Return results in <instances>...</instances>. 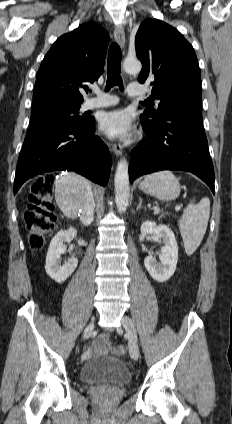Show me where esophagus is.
<instances>
[{
    "mask_svg": "<svg viewBox=\"0 0 232 424\" xmlns=\"http://www.w3.org/2000/svg\"><path fill=\"white\" fill-rule=\"evenodd\" d=\"M114 36L116 42L120 45L121 48L125 46V32L121 25L117 24L114 28ZM112 151L116 154V156H120L122 154V146L120 143H114L112 145Z\"/></svg>",
    "mask_w": 232,
    "mask_h": 424,
    "instance_id": "esophagus-1",
    "label": "esophagus"
}]
</instances>
